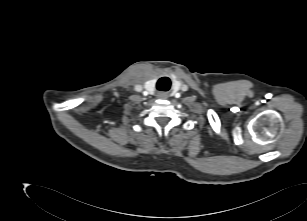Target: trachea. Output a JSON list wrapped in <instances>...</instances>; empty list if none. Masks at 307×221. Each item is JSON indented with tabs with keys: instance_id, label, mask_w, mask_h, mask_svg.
Wrapping results in <instances>:
<instances>
[{
	"instance_id": "1",
	"label": "trachea",
	"mask_w": 307,
	"mask_h": 221,
	"mask_svg": "<svg viewBox=\"0 0 307 221\" xmlns=\"http://www.w3.org/2000/svg\"><path fill=\"white\" fill-rule=\"evenodd\" d=\"M170 87V80L167 77H162L157 82V89L160 91H167Z\"/></svg>"
}]
</instances>
